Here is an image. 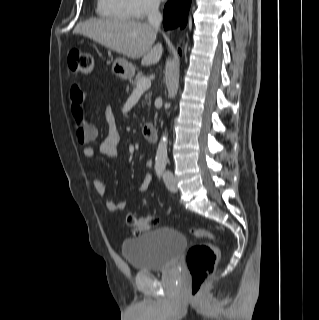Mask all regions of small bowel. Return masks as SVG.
<instances>
[{
	"label": "small bowel",
	"instance_id": "obj_1",
	"mask_svg": "<svg viewBox=\"0 0 319 320\" xmlns=\"http://www.w3.org/2000/svg\"><path fill=\"white\" fill-rule=\"evenodd\" d=\"M85 93L81 90L78 85H74L69 94L70 108L74 119H81L85 121V124L92 128L94 132V138L97 136L96 127L87 121L84 111L85 104ZM105 118L108 126L106 135L100 143L99 151L101 154L107 157H116L118 154V148L121 143V135L116 128L115 116L111 108H106ZM83 155L86 159H92L95 156L94 148L91 146H85L83 148ZM152 162L146 161L145 168L151 167ZM150 179L146 174L142 179L140 185L136 188V193H144L149 189ZM92 186L97 195L104 197L106 195V187L104 183L97 177L92 178ZM105 208L109 212H121L126 209V202L119 201L115 202L112 200L105 201Z\"/></svg>",
	"mask_w": 319,
	"mask_h": 320
}]
</instances>
